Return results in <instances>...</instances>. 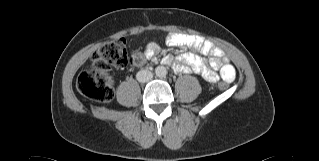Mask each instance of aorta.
I'll return each instance as SVG.
<instances>
[{"mask_svg": "<svg viewBox=\"0 0 319 161\" xmlns=\"http://www.w3.org/2000/svg\"><path fill=\"white\" fill-rule=\"evenodd\" d=\"M155 74H156L157 77L162 78V77L166 76L167 70H166V68L164 66H158L155 69Z\"/></svg>", "mask_w": 319, "mask_h": 161, "instance_id": "762f6f07", "label": "aorta"}]
</instances>
